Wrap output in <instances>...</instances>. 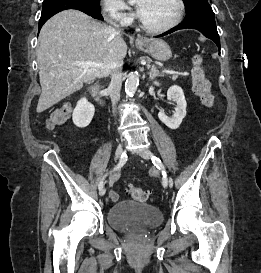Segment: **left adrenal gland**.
I'll return each instance as SVG.
<instances>
[{
  "mask_svg": "<svg viewBox=\"0 0 261 273\" xmlns=\"http://www.w3.org/2000/svg\"><path fill=\"white\" fill-rule=\"evenodd\" d=\"M158 76H163V74H161L157 69L156 67L152 66L151 69H150V72H149V78L150 80H154L156 77Z\"/></svg>",
  "mask_w": 261,
  "mask_h": 273,
  "instance_id": "a2214340",
  "label": "left adrenal gland"
}]
</instances>
